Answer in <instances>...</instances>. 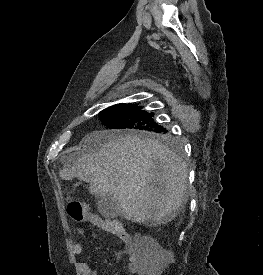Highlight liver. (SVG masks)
<instances>
[{"mask_svg":"<svg viewBox=\"0 0 263 275\" xmlns=\"http://www.w3.org/2000/svg\"><path fill=\"white\" fill-rule=\"evenodd\" d=\"M81 154L59 175L90 184L95 196L110 195L128 220L162 224L175 219L187 199L185 162L159 141L116 131H95L81 142Z\"/></svg>","mask_w":263,"mask_h":275,"instance_id":"liver-1","label":"liver"}]
</instances>
